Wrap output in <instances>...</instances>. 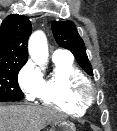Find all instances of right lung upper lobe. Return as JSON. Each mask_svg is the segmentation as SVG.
Listing matches in <instances>:
<instances>
[{
  "label": "right lung upper lobe",
  "mask_w": 117,
  "mask_h": 131,
  "mask_svg": "<svg viewBox=\"0 0 117 131\" xmlns=\"http://www.w3.org/2000/svg\"><path fill=\"white\" fill-rule=\"evenodd\" d=\"M31 31V22L26 16L12 14L5 18L0 27V65L26 63Z\"/></svg>",
  "instance_id": "cb5924a9"
}]
</instances>
